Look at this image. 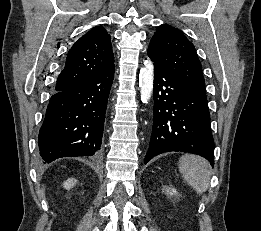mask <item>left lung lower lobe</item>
<instances>
[{"mask_svg":"<svg viewBox=\"0 0 261 231\" xmlns=\"http://www.w3.org/2000/svg\"><path fill=\"white\" fill-rule=\"evenodd\" d=\"M153 127L145 164L171 151L201 155L214 165V140L207 98L190 92L154 65Z\"/></svg>","mask_w":261,"mask_h":231,"instance_id":"0a47b994","label":"left lung lower lobe"}]
</instances>
